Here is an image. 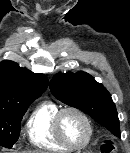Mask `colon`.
Masks as SVG:
<instances>
[{
	"label": "colon",
	"instance_id": "5ec220e1",
	"mask_svg": "<svg viewBox=\"0 0 130 153\" xmlns=\"http://www.w3.org/2000/svg\"><path fill=\"white\" fill-rule=\"evenodd\" d=\"M114 151V145L111 141L106 140L102 145V152L110 153Z\"/></svg>",
	"mask_w": 130,
	"mask_h": 153
}]
</instances>
